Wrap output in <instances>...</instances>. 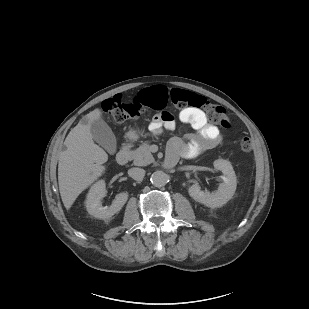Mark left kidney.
I'll list each match as a JSON object with an SVG mask.
<instances>
[{"instance_id":"left-kidney-1","label":"left kidney","mask_w":309,"mask_h":309,"mask_svg":"<svg viewBox=\"0 0 309 309\" xmlns=\"http://www.w3.org/2000/svg\"><path fill=\"white\" fill-rule=\"evenodd\" d=\"M213 165L216 170L223 173V182L219 185L218 190L213 193L202 191L199 184L195 183L189 187L188 193L195 201L207 207L217 208L226 204L233 197L237 179L229 161L218 159L214 161Z\"/></svg>"}]
</instances>
